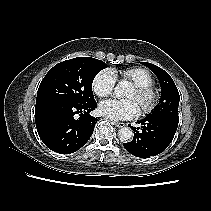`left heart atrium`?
<instances>
[{
	"label": "left heart atrium",
	"instance_id": "1",
	"mask_svg": "<svg viewBox=\"0 0 211 211\" xmlns=\"http://www.w3.org/2000/svg\"><path fill=\"white\" fill-rule=\"evenodd\" d=\"M99 111L103 116H106L110 119L126 120L138 115L140 108L138 104L132 99H110L103 101L100 104Z\"/></svg>",
	"mask_w": 211,
	"mask_h": 211
}]
</instances>
